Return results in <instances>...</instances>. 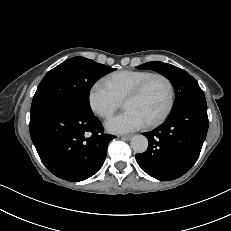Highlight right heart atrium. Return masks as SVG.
I'll list each match as a JSON object with an SVG mask.
<instances>
[{"label": "right heart atrium", "instance_id": "d8ad5b80", "mask_svg": "<svg viewBox=\"0 0 231 231\" xmlns=\"http://www.w3.org/2000/svg\"><path fill=\"white\" fill-rule=\"evenodd\" d=\"M91 110L102 118L110 117L121 105V100L103 81L95 82L88 92Z\"/></svg>", "mask_w": 231, "mask_h": 231}]
</instances>
